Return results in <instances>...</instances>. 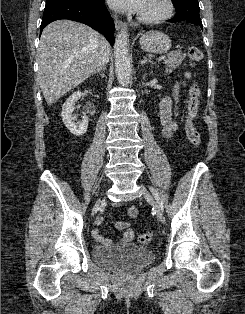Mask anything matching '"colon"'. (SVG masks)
I'll return each mask as SVG.
<instances>
[{
    "instance_id": "obj_1",
    "label": "colon",
    "mask_w": 245,
    "mask_h": 314,
    "mask_svg": "<svg viewBox=\"0 0 245 314\" xmlns=\"http://www.w3.org/2000/svg\"><path fill=\"white\" fill-rule=\"evenodd\" d=\"M188 58L191 64L194 65L202 59V51L197 47H191L188 50ZM199 96V87L197 84H194L190 89L188 113L184 124L185 134L189 142L194 146L201 144V136L193 122L197 114ZM138 241L141 244H150L153 241V234L150 232L142 233L138 236Z\"/></svg>"
}]
</instances>
